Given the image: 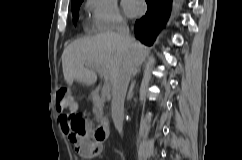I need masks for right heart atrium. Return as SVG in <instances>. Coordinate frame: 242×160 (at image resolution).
<instances>
[{
  "label": "right heart atrium",
  "mask_w": 242,
  "mask_h": 160,
  "mask_svg": "<svg viewBox=\"0 0 242 160\" xmlns=\"http://www.w3.org/2000/svg\"><path fill=\"white\" fill-rule=\"evenodd\" d=\"M87 9L92 28L97 32L112 31L126 24L116 0H87Z\"/></svg>",
  "instance_id": "obj_1"
}]
</instances>
